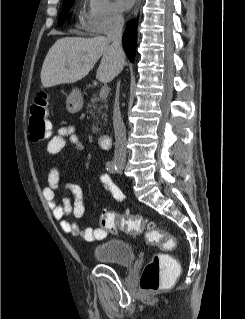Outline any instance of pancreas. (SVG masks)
Instances as JSON below:
<instances>
[{"label":"pancreas","instance_id":"obj_1","mask_svg":"<svg viewBox=\"0 0 245 319\" xmlns=\"http://www.w3.org/2000/svg\"><path fill=\"white\" fill-rule=\"evenodd\" d=\"M104 108H107L106 100L104 98L98 97L97 95H94L87 104V112L93 117H96V121L92 126L93 133H100L101 129L98 127L99 117L101 116V118H104V120L107 118L106 113L102 111Z\"/></svg>","mask_w":245,"mask_h":319}]
</instances>
